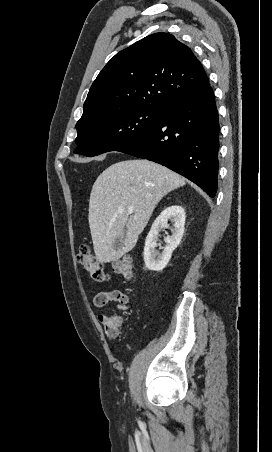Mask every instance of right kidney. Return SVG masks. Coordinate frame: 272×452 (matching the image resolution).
<instances>
[{"instance_id":"right-kidney-1","label":"right kidney","mask_w":272,"mask_h":452,"mask_svg":"<svg viewBox=\"0 0 272 452\" xmlns=\"http://www.w3.org/2000/svg\"><path fill=\"white\" fill-rule=\"evenodd\" d=\"M185 218L184 209L179 205L167 207L156 218L146 237L144 247V261L149 270L162 271L167 266L173 251L179 245L183 237ZM169 220L173 222L174 225L172 235L165 237L166 246L162 253H158L155 250L157 247L158 234L160 230L167 227Z\"/></svg>"}]
</instances>
